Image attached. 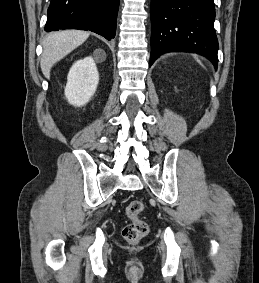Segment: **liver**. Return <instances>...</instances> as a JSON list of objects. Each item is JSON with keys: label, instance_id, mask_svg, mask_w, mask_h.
Segmentation results:
<instances>
[{"label": "liver", "instance_id": "liver-1", "mask_svg": "<svg viewBox=\"0 0 259 283\" xmlns=\"http://www.w3.org/2000/svg\"><path fill=\"white\" fill-rule=\"evenodd\" d=\"M90 33L81 30H64L47 35L43 41L40 66L43 75L49 79L53 65L86 41Z\"/></svg>", "mask_w": 259, "mask_h": 283}]
</instances>
